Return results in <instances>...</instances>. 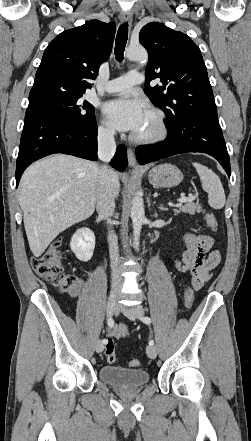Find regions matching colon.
<instances>
[{
    "label": "colon",
    "mask_w": 251,
    "mask_h": 441,
    "mask_svg": "<svg viewBox=\"0 0 251 441\" xmlns=\"http://www.w3.org/2000/svg\"><path fill=\"white\" fill-rule=\"evenodd\" d=\"M205 219L207 225L212 230H217L218 221L214 213L207 212ZM61 245L62 241L60 239L54 241L41 255L34 257L31 264L38 276L57 286L61 290L68 291L79 282V279L76 275L65 270L62 264ZM184 303L187 309H190L194 303V292L191 288L185 290ZM105 354L108 363L112 364L116 361L115 344L112 339L108 340ZM129 366L137 368L140 366V361L132 359L129 361Z\"/></svg>",
    "instance_id": "5ec220e1"
}]
</instances>
